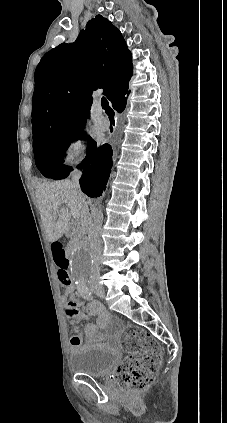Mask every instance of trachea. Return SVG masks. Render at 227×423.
<instances>
[{"instance_id":"1","label":"trachea","mask_w":227,"mask_h":423,"mask_svg":"<svg viewBox=\"0 0 227 423\" xmlns=\"http://www.w3.org/2000/svg\"><path fill=\"white\" fill-rule=\"evenodd\" d=\"M101 106H102L103 110H105L107 115L114 116V112H113L112 108L109 106V102L107 101V99L105 97L101 98Z\"/></svg>"}]
</instances>
